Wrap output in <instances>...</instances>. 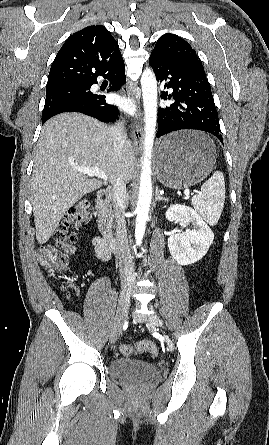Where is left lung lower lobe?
Instances as JSON below:
<instances>
[{
    "label": "left lung lower lobe",
    "mask_w": 269,
    "mask_h": 445,
    "mask_svg": "<svg viewBox=\"0 0 269 445\" xmlns=\"http://www.w3.org/2000/svg\"><path fill=\"white\" fill-rule=\"evenodd\" d=\"M156 78L166 82L173 93L162 92V99H174L175 103L158 109L157 137L182 130L195 129L215 135L222 143L218 113L210 84L200 62H172L149 58Z\"/></svg>",
    "instance_id": "1"
}]
</instances>
